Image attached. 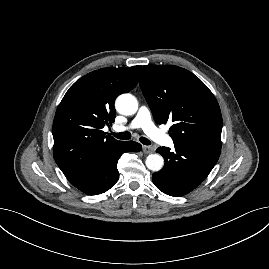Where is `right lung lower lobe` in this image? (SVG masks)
<instances>
[{
    "instance_id": "1",
    "label": "right lung lower lobe",
    "mask_w": 269,
    "mask_h": 269,
    "mask_svg": "<svg viewBox=\"0 0 269 269\" xmlns=\"http://www.w3.org/2000/svg\"><path fill=\"white\" fill-rule=\"evenodd\" d=\"M142 146L134 141L121 142L98 155L76 172L66 176L68 181L88 195H97L113 187L119 179L117 162L124 152H139Z\"/></svg>"
}]
</instances>
